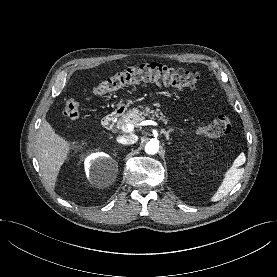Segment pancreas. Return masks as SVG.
Instances as JSON below:
<instances>
[{
	"instance_id": "pancreas-1",
	"label": "pancreas",
	"mask_w": 277,
	"mask_h": 277,
	"mask_svg": "<svg viewBox=\"0 0 277 277\" xmlns=\"http://www.w3.org/2000/svg\"><path fill=\"white\" fill-rule=\"evenodd\" d=\"M146 116H149L150 118L154 119L155 117L158 118V120H162L164 123H167L168 120L165 118V115L163 112H161L159 109L156 110H150L149 107L142 108L140 111L138 108H133L132 110H129L126 114L122 115V118L118 120L117 126L119 128H122L123 126L127 124H139Z\"/></svg>"
}]
</instances>
